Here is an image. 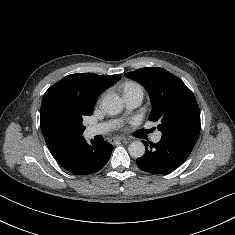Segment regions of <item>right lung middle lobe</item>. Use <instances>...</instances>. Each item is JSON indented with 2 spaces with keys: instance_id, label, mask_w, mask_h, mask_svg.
<instances>
[{
  "instance_id": "right-lung-middle-lobe-1",
  "label": "right lung middle lobe",
  "mask_w": 235,
  "mask_h": 235,
  "mask_svg": "<svg viewBox=\"0 0 235 235\" xmlns=\"http://www.w3.org/2000/svg\"><path fill=\"white\" fill-rule=\"evenodd\" d=\"M93 107L86 108L80 105H68L59 109L55 116L58 127L68 134H82L85 126L82 124L85 116L91 115Z\"/></svg>"
}]
</instances>
